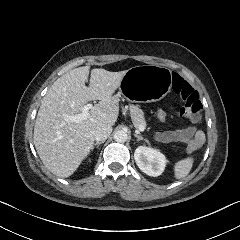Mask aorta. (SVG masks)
<instances>
[{"label":"aorta","mask_w":240,"mask_h":240,"mask_svg":"<svg viewBox=\"0 0 240 240\" xmlns=\"http://www.w3.org/2000/svg\"><path fill=\"white\" fill-rule=\"evenodd\" d=\"M114 139L116 142L124 143L128 139V134L124 130H118L114 133Z\"/></svg>","instance_id":"obj_1"}]
</instances>
